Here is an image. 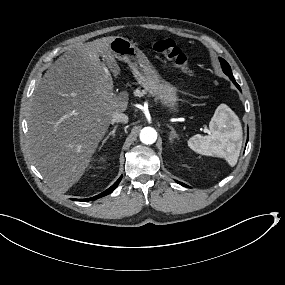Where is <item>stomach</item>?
<instances>
[{
    "label": "stomach",
    "mask_w": 285,
    "mask_h": 285,
    "mask_svg": "<svg viewBox=\"0 0 285 285\" xmlns=\"http://www.w3.org/2000/svg\"><path fill=\"white\" fill-rule=\"evenodd\" d=\"M112 54L129 64L131 72L138 84L153 96L169 113L180 112L177 88L166 81L147 56L131 41L123 37H115L110 44Z\"/></svg>",
    "instance_id": "0dacf381"
}]
</instances>
